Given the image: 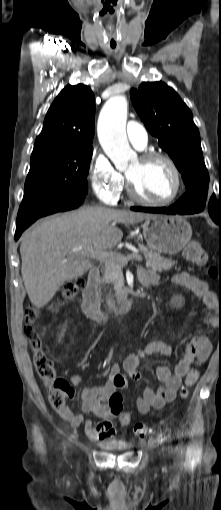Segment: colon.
<instances>
[{
  "mask_svg": "<svg viewBox=\"0 0 221 510\" xmlns=\"http://www.w3.org/2000/svg\"><path fill=\"white\" fill-rule=\"evenodd\" d=\"M184 258L192 264L204 268L213 279H219V270L209 264L208 255L205 249L196 241H191L183 252ZM83 280L76 279L67 283L62 291L60 304H66L75 299L83 287ZM40 318V311L35 307H29L26 313V321L28 328L26 336L33 350V365L35 371L48 387V401L52 408L58 411L67 408V399L74 395L73 388L64 379L58 378L53 366L52 358L47 350L42 335L33 327ZM198 379V372L190 370L185 379L182 388V396L186 397L189 389ZM112 384L116 390L123 389L126 386V378L123 374L117 373L112 377ZM109 403L116 409L118 420L122 425L130 423V415L122 409V395L116 391L109 399ZM133 433L137 437H145L149 433V429L144 424H136L133 427Z\"/></svg>",
  "mask_w": 221,
  "mask_h": 510,
  "instance_id": "obj_1",
  "label": "colon"
}]
</instances>
